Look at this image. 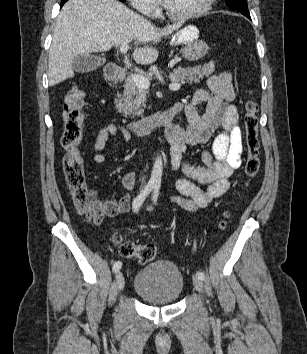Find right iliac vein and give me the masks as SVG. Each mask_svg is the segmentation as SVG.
Masks as SVG:
<instances>
[{
	"label": "right iliac vein",
	"instance_id": "63e3f726",
	"mask_svg": "<svg viewBox=\"0 0 307 354\" xmlns=\"http://www.w3.org/2000/svg\"><path fill=\"white\" fill-rule=\"evenodd\" d=\"M116 285L119 291L123 290L125 286V278L121 272H118L116 275Z\"/></svg>",
	"mask_w": 307,
	"mask_h": 354
}]
</instances>
